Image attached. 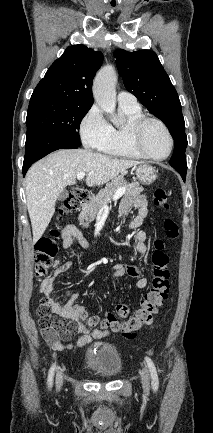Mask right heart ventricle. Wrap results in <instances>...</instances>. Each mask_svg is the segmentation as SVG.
I'll return each instance as SVG.
<instances>
[{"instance_id": "obj_1", "label": "right heart ventricle", "mask_w": 213, "mask_h": 433, "mask_svg": "<svg viewBox=\"0 0 213 433\" xmlns=\"http://www.w3.org/2000/svg\"><path fill=\"white\" fill-rule=\"evenodd\" d=\"M120 111L125 115L126 123L122 126L110 125L109 134L99 150L111 156L142 158V156L134 150L128 137V127L130 123L143 116L141 108L120 105Z\"/></svg>"}]
</instances>
